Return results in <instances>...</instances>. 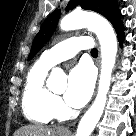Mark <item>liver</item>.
<instances>
[{
  "instance_id": "obj_1",
  "label": "liver",
  "mask_w": 136,
  "mask_h": 136,
  "mask_svg": "<svg viewBox=\"0 0 136 136\" xmlns=\"http://www.w3.org/2000/svg\"><path fill=\"white\" fill-rule=\"evenodd\" d=\"M14 136H55V133L43 126L28 125L18 129Z\"/></svg>"
}]
</instances>
